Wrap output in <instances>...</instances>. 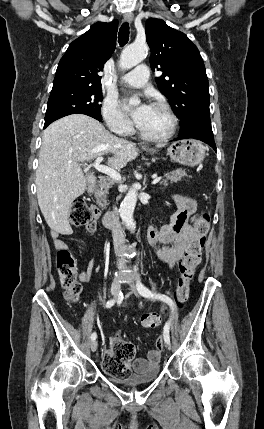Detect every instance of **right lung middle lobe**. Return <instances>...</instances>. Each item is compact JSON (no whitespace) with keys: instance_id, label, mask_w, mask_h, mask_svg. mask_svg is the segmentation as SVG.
Wrapping results in <instances>:
<instances>
[{"instance_id":"dd1d6c3e","label":"right lung middle lobe","mask_w":264,"mask_h":429,"mask_svg":"<svg viewBox=\"0 0 264 429\" xmlns=\"http://www.w3.org/2000/svg\"><path fill=\"white\" fill-rule=\"evenodd\" d=\"M102 100L101 90L97 87L68 86L54 89L48 100L45 125L76 113L85 114L101 121L99 102Z\"/></svg>"}]
</instances>
